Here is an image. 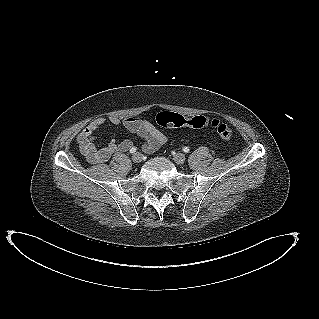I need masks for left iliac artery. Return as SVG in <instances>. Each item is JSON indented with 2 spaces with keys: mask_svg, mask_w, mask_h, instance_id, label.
Masks as SVG:
<instances>
[{
  "mask_svg": "<svg viewBox=\"0 0 319 319\" xmlns=\"http://www.w3.org/2000/svg\"><path fill=\"white\" fill-rule=\"evenodd\" d=\"M183 151H184L185 153H189V152H190V149H189L188 147H184V148H183Z\"/></svg>",
  "mask_w": 319,
  "mask_h": 319,
  "instance_id": "44dca946",
  "label": "left iliac artery"
}]
</instances>
